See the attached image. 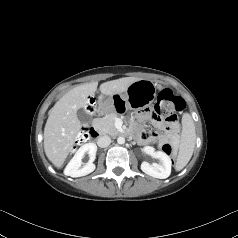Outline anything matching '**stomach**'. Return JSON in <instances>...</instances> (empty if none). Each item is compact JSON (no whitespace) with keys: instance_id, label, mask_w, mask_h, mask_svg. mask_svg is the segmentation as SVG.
Returning a JSON list of instances; mask_svg holds the SVG:
<instances>
[{"instance_id":"obj_1","label":"stomach","mask_w":238,"mask_h":238,"mask_svg":"<svg viewBox=\"0 0 238 238\" xmlns=\"http://www.w3.org/2000/svg\"><path fill=\"white\" fill-rule=\"evenodd\" d=\"M156 97V85L146 79L133 82L124 94L114 96L100 103L98 111L101 114L116 112L125 113L130 109H145L149 107Z\"/></svg>"}]
</instances>
